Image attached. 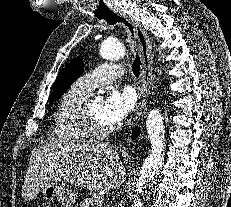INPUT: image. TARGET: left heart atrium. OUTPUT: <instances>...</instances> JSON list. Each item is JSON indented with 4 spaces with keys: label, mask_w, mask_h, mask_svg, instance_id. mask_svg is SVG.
Here are the masks:
<instances>
[{
    "label": "left heart atrium",
    "mask_w": 231,
    "mask_h": 207,
    "mask_svg": "<svg viewBox=\"0 0 231 207\" xmlns=\"http://www.w3.org/2000/svg\"><path fill=\"white\" fill-rule=\"evenodd\" d=\"M135 103L136 94L133 89L125 87L122 90H111L103 103V121L108 126L119 124L133 110Z\"/></svg>",
    "instance_id": "left-heart-atrium-1"
}]
</instances>
